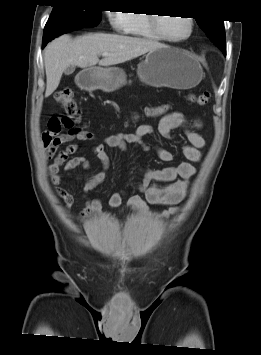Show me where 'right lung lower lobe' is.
<instances>
[{"label": "right lung lower lobe", "instance_id": "obj_1", "mask_svg": "<svg viewBox=\"0 0 261 355\" xmlns=\"http://www.w3.org/2000/svg\"><path fill=\"white\" fill-rule=\"evenodd\" d=\"M81 28H84V27L77 26V25H65V26H59V27L44 31L42 48H44L50 40L56 38L57 36L62 35L67 32H70V31L78 30Z\"/></svg>", "mask_w": 261, "mask_h": 355}]
</instances>
